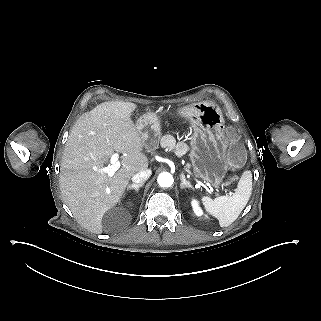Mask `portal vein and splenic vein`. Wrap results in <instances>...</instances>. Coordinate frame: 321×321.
<instances>
[{
	"instance_id": "obj_1",
	"label": "portal vein and splenic vein",
	"mask_w": 321,
	"mask_h": 321,
	"mask_svg": "<svg viewBox=\"0 0 321 321\" xmlns=\"http://www.w3.org/2000/svg\"><path fill=\"white\" fill-rule=\"evenodd\" d=\"M118 159H119V154L118 153L113 154L110 159L111 165H108L107 167H103L99 171L106 173L109 177H112L121 166ZM184 170L187 171L189 174H192L193 179H195V182L198 183L199 186L206 189V191H208L210 195H214L213 189H210L209 187H206L204 183H201V181L197 179V176H195V173H193V171H191L187 167H184Z\"/></svg>"
}]
</instances>
